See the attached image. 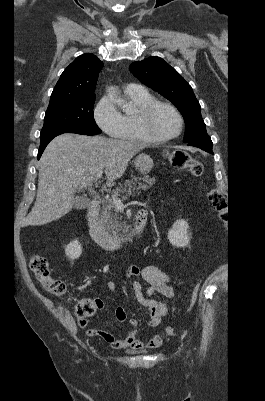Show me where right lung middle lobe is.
Here are the masks:
<instances>
[{
	"label": "right lung middle lobe",
	"mask_w": 265,
	"mask_h": 401,
	"mask_svg": "<svg viewBox=\"0 0 265 401\" xmlns=\"http://www.w3.org/2000/svg\"><path fill=\"white\" fill-rule=\"evenodd\" d=\"M95 95L73 98L48 106L40 142H45L63 133L96 135L102 131L93 116Z\"/></svg>",
	"instance_id": "right-lung-middle-lobe-1"
}]
</instances>
